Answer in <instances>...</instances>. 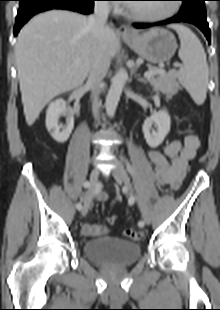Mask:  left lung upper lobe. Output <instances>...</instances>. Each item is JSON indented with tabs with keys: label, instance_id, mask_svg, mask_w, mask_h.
Masks as SVG:
<instances>
[{
	"label": "left lung upper lobe",
	"instance_id": "5c2ea615",
	"mask_svg": "<svg viewBox=\"0 0 220 310\" xmlns=\"http://www.w3.org/2000/svg\"><path fill=\"white\" fill-rule=\"evenodd\" d=\"M183 2L179 13L183 15H206L205 11V0H181Z\"/></svg>",
	"mask_w": 220,
	"mask_h": 310
}]
</instances>
